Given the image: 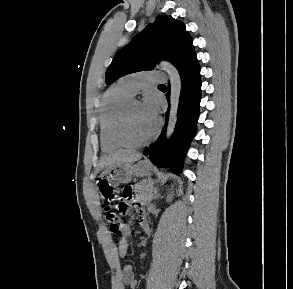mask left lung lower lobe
<instances>
[{
    "instance_id": "0a47b994",
    "label": "left lung lower lobe",
    "mask_w": 293,
    "mask_h": 289,
    "mask_svg": "<svg viewBox=\"0 0 293 289\" xmlns=\"http://www.w3.org/2000/svg\"><path fill=\"white\" fill-rule=\"evenodd\" d=\"M181 94L177 114V123L171 139L165 143L166 128L169 116V109L166 113V123L163 131L156 142L144 150L152 163L158 167L172 165L174 173L182 172L184 156L189 144L196 132V124L199 117V104L201 99V77L200 66L196 55L191 58L180 70ZM167 99L170 97V86L168 87ZM164 146L167 150L164 151Z\"/></svg>"
}]
</instances>
